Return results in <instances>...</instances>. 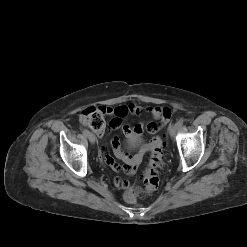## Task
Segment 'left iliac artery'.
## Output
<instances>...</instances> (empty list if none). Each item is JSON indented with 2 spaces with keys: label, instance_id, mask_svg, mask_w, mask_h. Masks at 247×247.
<instances>
[{
  "label": "left iliac artery",
  "instance_id": "1",
  "mask_svg": "<svg viewBox=\"0 0 247 247\" xmlns=\"http://www.w3.org/2000/svg\"><path fill=\"white\" fill-rule=\"evenodd\" d=\"M177 124H178L179 128L182 127V125H183V120H179V121L177 122Z\"/></svg>",
  "mask_w": 247,
  "mask_h": 247
}]
</instances>
